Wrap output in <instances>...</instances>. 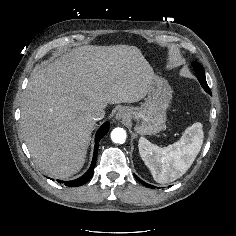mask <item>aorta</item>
I'll use <instances>...</instances> for the list:
<instances>
[{"mask_svg":"<svg viewBox=\"0 0 236 236\" xmlns=\"http://www.w3.org/2000/svg\"><path fill=\"white\" fill-rule=\"evenodd\" d=\"M111 139L114 143L122 144L126 140V131L123 128H115L111 132Z\"/></svg>","mask_w":236,"mask_h":236,"instance_id":"762f6f07","label":"aorta"}]
</instances>
